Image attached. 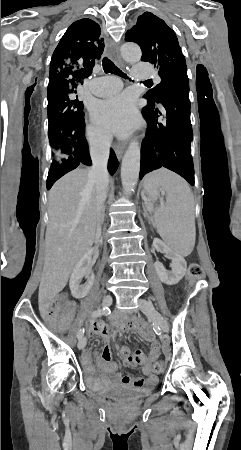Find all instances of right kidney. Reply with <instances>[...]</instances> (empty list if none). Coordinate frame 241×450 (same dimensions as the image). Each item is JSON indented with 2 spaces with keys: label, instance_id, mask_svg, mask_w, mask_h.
I'll use <instances>...</instances> for the list:
<instances>
[{
  "label": "right kidney",
  "instance_id": "1",
  "mask_svg": "<svg viewBox=\"0 0 241 450\" xmlns=\"http://www.w3.org/2000/svg\"><path fill=\"white\" fill-rule=\"evenodd\" d=\"M93 254V248H91V250H88V252H86V254H84V256L80 258L79 262H77L70 276L69 286L71 294L73 298H77V300H80V298H85L94 284L95 276L92 272ZM83 278H86L85 284H81Z\"/></svg>",
  "mask_w": 241,
  "mask_h": 450
}]
</instances>
